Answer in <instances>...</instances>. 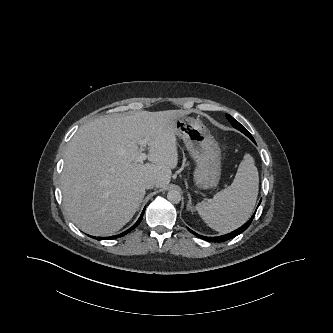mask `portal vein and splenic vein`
<instances>
[{"label": "portal vein and splenic vein", "mask_w": 333, "mask_h": 333, "mask_svg": "<svg viewBox=\"0 0 333 333\" xmlns=\"http://www.w3.org/2000/svg\"><path fill=\"white\" fill-rule=\"evenodd\" d=\"M148 144V141L146 139H143L140 141V146H141V150L145 151L146 146ZM147 159V155L145 152H141L137 157H136V162H143L144 160Z\"/></svg>", "instance_id": "1"}]
</instances>
